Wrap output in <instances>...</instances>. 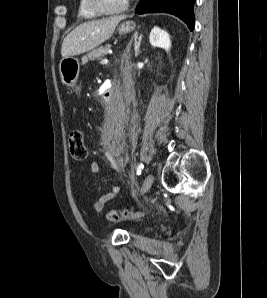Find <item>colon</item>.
Masks as SVG:
<instances>
[{
  "mask_svg": "<svg viewBox=\"0 0 267 298\" xmlns=\"http://www.w3.org/2000/svg\"><path fill=\"white\" fill-rule=\"evenodd\" d=\"M68 148L74 161L82 162L88 156V150L81 130H73L68 136ZM145 215L142 211H132L128 209H112L108 211L106 217L111 222H117L124 219H140Z\"/></svg>",
  "mask_w": 267,
  "mask_h": 298,
  "instance_id": "1",
  "label": "colon"
}]
</instances>
